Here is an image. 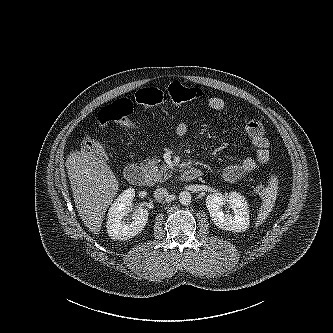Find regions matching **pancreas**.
<instances>
[{"mask_svg":"<svg viewBox=\"0 0 333 333\" xmlns=\"http://www.w3.org/2000/svg\"><path fill=\"white\" fill-rule=\"evenodd\" d=\"M156 158L148 159L144 165L145 170L154 182H164L171 177L174 168L166 164L160 165Z\"/></svg>","mask_w":333,"mask_h":333,"instance_id":"pancreas-1","label":"pancreas"}]
</instances>
